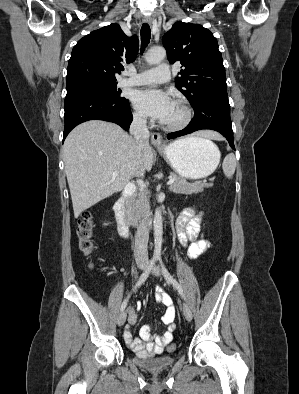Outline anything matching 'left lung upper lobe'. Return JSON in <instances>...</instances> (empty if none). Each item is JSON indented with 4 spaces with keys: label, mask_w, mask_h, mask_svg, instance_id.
Listing matches in <instances>:
<instances>
[{
    "label": "left lung upper lobe",
    "mask_w": 299,
    "mask_h": 394,
    "mask_svg": "<svg viewBox=\"0 0 299 394\" xmlns=\"http://www.w3.org/2000/svg\"><path fill=\"white\" fill-rule=\"evenodd\" d=\"M170 63L182 66L175 86L191 105L212 92H227L225 68L212 32L198 24L176 22L163 36Z\"/></svg>",
    "instance_id": "1"
}]
</instances>
